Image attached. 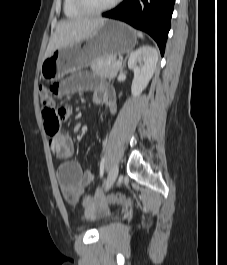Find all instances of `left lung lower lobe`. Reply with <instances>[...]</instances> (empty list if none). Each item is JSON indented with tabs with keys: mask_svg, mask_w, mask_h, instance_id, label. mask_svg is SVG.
Instances as JSON below:
<instances>
[{
	"mask_svg": "<svg viewBox=\"0 0 227 265\" xmlns=\"http://www.w3.org/2000/svg\"><path fill=\"white\" fill-rule=\"evenodd\" d=\"M174 3L175 0H125L102 16L124 21L148 33L157 42L163 55Z\"/></svg>",
	"mask_w": 227,
	"mask_h": 265,
	"instance_id": "0a47b994",
	"label": "left lung lower lobe"
}]
</instances>
